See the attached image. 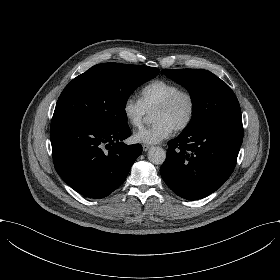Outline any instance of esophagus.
Wrapping results in <instances>:
<instances>
[{"label": "esophagus", "mask_w": 280, "mask_h": 280, "mask_svg": "<svg viewBox=\"0 0 280 280\" xmlns=\"http://www.w3.org/2000/svg\"><path fill=\"white\" fill-rule=\"evenodd\" d=\"M142 147H143V151L146 152V151H148L151 148V145L143 144Z\"/></svg>", "instance_id": "1"}]
</instances>
